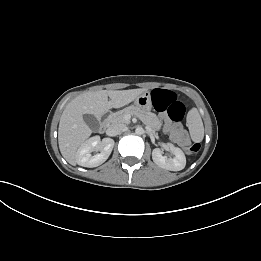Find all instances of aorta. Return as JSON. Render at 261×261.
Listing matches in <instances>:
<instances>
[{"label":"aorta","instance_id":"obj_1","mask_svg":"<svg viewBox=\"0 0 261 261\" xmlns=\"http://www.w3.org/2000/svg\"><path fill=\"white\" fill-rule=\"evenodd\" d=\"M135 133L137 135H142L144 133V129L142 127H137Z\"/></svg>","mask_w":261,"mask_h":261}]
</instances>
